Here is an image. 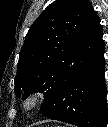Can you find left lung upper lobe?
Returning a JSON list of instances; mask_svg holds the SVG:
<instances>
[{"instance_id": "obj_1", "label": "left lung upper lobe", "mask_w": 108, "mask_h": 127, "mask_svg": "<svg viewBox=\"0 0 108 127\" xmlns=\"http://www.w3.org/2000/svg\"><path fill=\"white\" fill-rule=\"evenodd\" d=\"M88 0H56L36 19L21 48L15 77V93L23 98L32 92L46 91L43 109L54 98L59 87L65 58L75 40Z\"/></svg>"}]
</instances>
